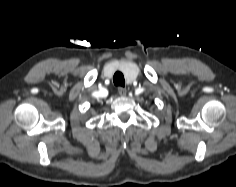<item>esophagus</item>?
I'll return each instance as SVG.
<instances>
[{"label":"esophagus","mask_w":236,"mask_h":187,"mask_svg":"<svg viewBox=\"0 0 236 187\" xmlns=\"http://www.w3.org/2000/svg\"><path fill=\"white\" fill-rule=\"evenodd\" d=\"M118 93H119V95H121V96H126L127 91H126L125 88L119 87V88H118Z\"/></svg>","instance_id":"esophagus-1"}]
</instances>
